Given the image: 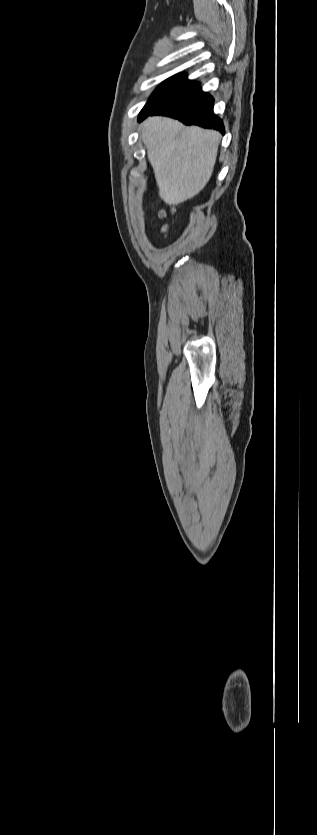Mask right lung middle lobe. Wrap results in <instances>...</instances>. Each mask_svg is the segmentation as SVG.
Listing matches in <instances>:
<instances>
[{
  "label": "right lung middle lobe",
  "instance_id": "obj_1",
  "mask_svg": "<svg viewBox=\"0 0 317 835\" xmlns=\"http://www.w3.org/2000/svg\"><path fill=\"white\" fill-rule=\"evenodd\" d=\"M199 86L200 83L188 80L184 74L175 75L167 79L154 91L153 95L140 112L139 119L144 114L157 109L167 102L182 96Z\"/></svg>",
  "mask_w": 317,
  "mask_h": 835
}]
</instances>
